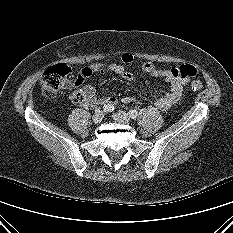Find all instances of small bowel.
<instances>
[{
  "label": "small bowel",
  "mask_w": 233,
  "mask_h": 233,
  "mask_svg": "<svg viewBox=\"0 0 233 233\" xmlns=\"http://www.w3.org/2000/svg\"><path fill=\"white\" fill-rule=\"evenodd\" d=\"M134 63V57L130 53H124L117 61H104L91 64L83 68L76 80V86L80 88L83 96V103L87 106H95L98 103L105 105H116L118 100L114 96H99L94 87L86 83V79L95 74L115 73L126 81H133L137 75L133 73L128 66ZM141 72L150 76L165 80L169 84V88L164 94L157 98L155 106L161 111H166L171 108L180 98L183 88L188 79H182L174 75L176 68L163 69L157 67L152 62H144L140 65ZM125 104L133 101L130 96H125L121 99Z\"/></svg>",
  "instance_id": "1"
}]
</instances>
